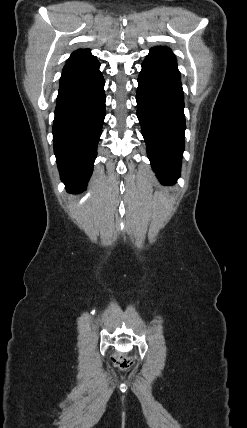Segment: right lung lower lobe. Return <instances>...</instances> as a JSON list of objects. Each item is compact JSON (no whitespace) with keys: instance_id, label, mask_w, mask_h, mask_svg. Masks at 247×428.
I'll return each instance as SVG.
<instances>
[{"instance_id":"right-lung-lower-lobe-1","label":"right lung lower lobe","mask_w":247,"mask_h":428,"mask_svg":"<svg viewBox=\"0 0 247 428\" xmlns=\"http://www.w3.org/2000/svg\"><path fill=\"white\" fill-rule=\"evenodd\" d=\"M91 56L64 66L53 123L54 153L70 193L85 190L105 117V80Z\"/></svg>"}]
</instances>
